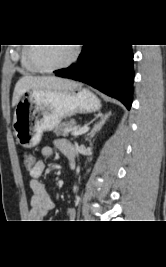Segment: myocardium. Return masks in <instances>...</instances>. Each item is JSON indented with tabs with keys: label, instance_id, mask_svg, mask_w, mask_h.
<instances>
[{
	"label": "myocardium",
	"instance_id": "obj_1",
	"mask_svg": "<svg viewBox=\"0 0 166 267\" xmlns=\"http://www.w3.org/2000/svg\"><path fill=\"white\" fill-rule=\"evenodd\" d=\"M34 48H35V44H31V46L28 47L27 57H28L30 64L41 72H54V71H58V70L67 68L76 61V59L79 55V48L77 46H74L72 54L67 61H65L64 63H61L59 65H56V66L46 67V66L39 64L35 60L34 54H33Z\"/></svg>",
	"mask_w": 166,
	"mask_h": 267
}]
</instances>
